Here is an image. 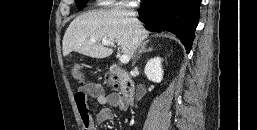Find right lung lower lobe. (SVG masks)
<instances>
[{"label": "right lung lower lobe", "mask_w": 257, "mask_h": 130, "mask_svg": "<svg viewBox=\"0 0 257 130\" xmlns=\"http://www.w3.org/2000/svg\"><path fill=\"white\" fill-rule=\"evenodd\" d=\"M201 0H142L139 20L152 32L174 33L189 53L199 22Z\"/></svg>", "instance_id": "1"}]
</instances>
